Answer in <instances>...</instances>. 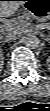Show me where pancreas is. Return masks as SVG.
I'll return each instance as SVG.
<instances>
[{
    "mask_svg": "<svg viewBox=\"0 0 50 111\" xmlns=\"http://www.w3.org/2000/svg\"><path fill=\"white\" fill-rule=\"evenodd\" d=\"M24 19H25V17L22 16L18 20H15V19L9 20L7 25H8V27H13L17 23V24H20L23 26L25 24Z\"/></svg>",
    "mask_w": 50,
    "mask_h": 111,
    "instance_id": "obj_1",
    "label": "pancreas"
}]
</instances>
